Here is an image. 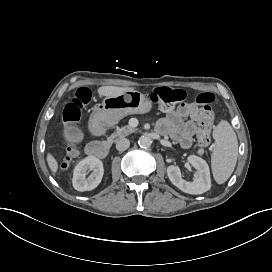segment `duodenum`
I'll use <instances>...</instances> for the list:
<instances>
[{"mask_svg": "<svg viewBox=\"0 0 272 272\" xmlns=\"http://www.w3.org/2000/svg\"><path fill=\"white\" fill-rule=\"evenodd\" d=\"M108 124L107 111L103 107H99L95 110L90 120L91 132L100 136L104 133ZM110 147L107 143L93 141L90 142L86 147V154L90 157L104 159L109 153Z\"/></svg>", "mask_w": 272, "mask_h": 272, "instance_id": "1", "label": "duodenum"}]
</instances>
